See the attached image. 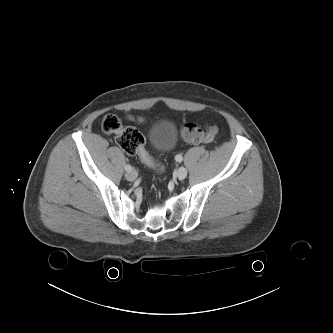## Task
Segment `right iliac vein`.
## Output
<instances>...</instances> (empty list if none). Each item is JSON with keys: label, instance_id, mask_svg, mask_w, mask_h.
I'll use <instances>...</instances> for the list:
<instances>
[{"label": "right iliac vein", "instance_id": "1", "mask_svg": "<svg viewBox=\"0 0 333 333\" xmlns=\"http://www.w3.org/2000/svg\"><path fill=\"white\" fill-rule=\"evenodd\" d=\"M125 177L128 181H134L137 178V173L134 170H132L127 172Z\"/></svg>", "mask_w": 333, "mask_h": 333}]
</instances>
